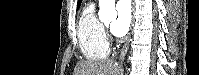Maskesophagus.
I'll use <instances>...</instances> for the list:
<instances>
[{
  "mask_svg": "<svg viewBox=\"0 0 199 75\" xmlns=\"http://www.w3.org/2000/svg\"><path fill=\"white\" fill-rule=\"evenodd\" d=\"M133 8H134V3H133ZM131 34H132V28L128 34V37L126 39V42L124 44V47L121 51L120 57H119V62L122 63L125 59V56L127 54L128 48H129V43H130V38H131Z\"/></svg>",
  "mask_w": 199,
  "mask_h": 75,
  "instance_id": "obj_1",
  "label": "esophagus"
}]
</instances>
